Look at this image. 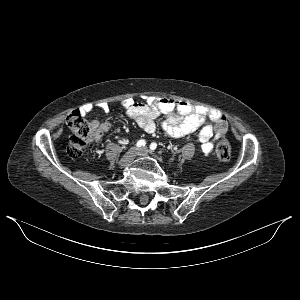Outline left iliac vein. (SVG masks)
I'll return each mask as SVG.
<instances>
[{
  "label": "left iliac vein",
  "mask_w": 300,
  "mask_h": 300,
  "mask_svg": "<svg viewBox=\"0 0 300 300\" xmlns=\"http://www.w3.org/2000/svg\"><path fill=\"white\" fill-rule=\"evenodd\" d=\"M137 154L141 157H146L148 156V150L146 148H141L138 150Z\"/></svg>",
  "instance_id": "obj_1"
}]
</instances>
